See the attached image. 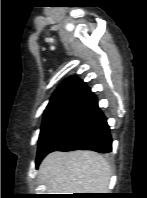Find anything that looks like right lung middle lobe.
<instances>
[{"label":"right lung middle lobe","instance_id":"obj_1","mask_svg":"<svg viewBox=\"0 0 147 198\" xmlns=\"http://www.w3.org/2000/svg\"><path fill=\"white\" fill-rule=\"evenodd\" d=\"M72 109L73 107L71 106L46 108L38 141V151L46 139L57 129Z\"/></svg>","mask_w":147,"mask_h":198}]
</instances>
